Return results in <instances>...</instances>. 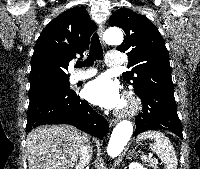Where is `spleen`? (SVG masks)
Wrapping results in <instances>:
<instances>
[{
  "instance_id": "spleen-1",
  "label": "spleen",
  "mask_w": 200,
  "mask_h": 169,
  "mask_svg": "<svg viewBox=\"0 0 200 169\" xmlns=\"http://www.w3.org/2000/svg\"><path fill=\"white\" fill-rule=\"evenodd\" d=\"M139 140H154L151 150L163 161L165 169H177L178 160L170 140L159 131H146L138 136Z\"/></svg>"
}]
</instances>
